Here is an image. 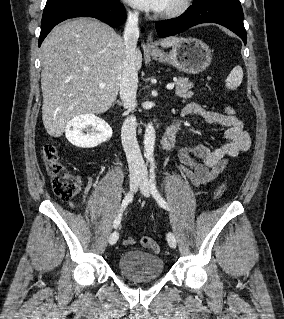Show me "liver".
I'll return each mask as SVG.
<instances>
[{
    "instance_id": "obj_1",
    "label": "liver",
    "mask_w": 284,
    "mask_h": 319,
    "mask_svg": "<svg viewBox=\"0 0 284 319\" xmlns=\"http://www.w3.org/2000/svg\"><path fill=\"white\" fill-rule=\"evenodd\" d=\"M180 40L169 37L160 45L167 48ZM41 56L42 119L49 135L60 137L73 117L104 113L116 100L126 54L123 38L110 26L90 18L68 21L47 36ZM134 63L139 70V49Z\"/></svg>"
}]
</instances>
